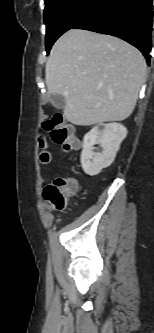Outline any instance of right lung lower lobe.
Wrapping results in <instances>:
<instances>
[{
    "label": "right lung lower lobe",
    "mask_w": 154,
    "mask_h": 333,
    "mask_svg": "<svg viewBox=\"0 0 154 333\" xmlns=\"http://www.w3.org/2000/svg\"><path fill=\"white\" fill-rule=\"evenodd\" d=\"M152 0H98L72 28L121 38L151 56Z\"/></svg>",
    "instance_id": "obj_1"
}]
</instances>
